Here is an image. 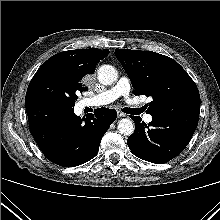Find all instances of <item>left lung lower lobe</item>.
Here are the masks:
<instances>
[{
	"mask_svg": "<svg viewBox=\"0 0 220 220\" xmlns=\"http://www.w3.org/2000/svg\"><path fill=\"white\" fill-rule=\"evenodd\" d=\"M200 109L165 110L146 125L140 117H131L135 131L127 139L132 153L151 163L162 164L179 155L188 145L198 124Z\"/></svg>",
	"mask_w": 220,
	"mask_h": 220,
	"instance_id": "left-lung-lower-lobe-1",
	"label": "left lung lower lobe"
}]
</instances>
